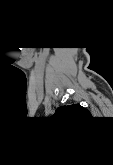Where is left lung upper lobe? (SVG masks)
<instances>
[{
	"label": "left lung upper lobe",
	"mask_w": 113,
	"mask_h": 165,
	"mask_svg": "<svg viewBox=\"0 0 113 165\" xmlns=\"http://www.w3.org/2000/svg\"><path fill=\"white\" fill-rule=\"evenodd\" d=\"M56 113L67 115V116L71 115L72 117L73 116L87 117L88 115H90L89 111L86 108L80 106L79 104H72V105L59 107Z\"/></svg>",
	"instance_id": "left-lung-upper-lobe-1"
}]
</instances>
